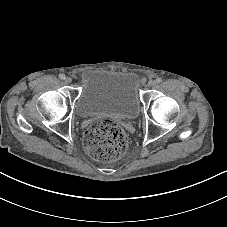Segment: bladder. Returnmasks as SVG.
<instances>
[{
    "label": "bladder",
    "mask_w": 227,
    "mask_h": 227,
    "mask_svg": "<svg viewBox=\"0 0 227 227\" xmlns=\"http://www.w3.org/2000/svg\"><path fill=\"white\" fill-rule=\"evenodd\" d=\"M138 87L132 72L95 71L80 87L74 111L83 120L101 116L133 122L141 112Z\"/></svg>",
    "instance_id": "obj_1"
}]
</instances>
